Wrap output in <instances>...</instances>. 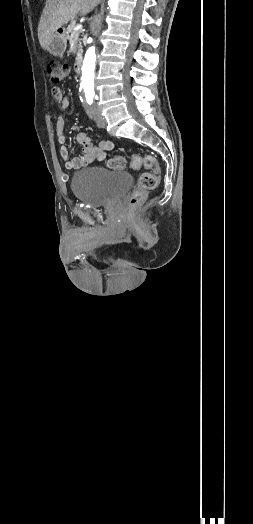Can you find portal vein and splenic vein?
Returning <instances> with one entry per match:
<instances>
[{"label":"portal vein and splenic vein","instance_id":"1","mask_svg":"<svg viewBox=\"0 0 253 524\" xmlns=\"http://www.w3.org/2000/svg\"><path fill=\"white\" fill-rule=\"evenodd\" d=\"M80 29H82V25L81 24H78L74 27V31H79Z\"/></svg>","mask_w":253,"mask_h":524}]
</instances>
